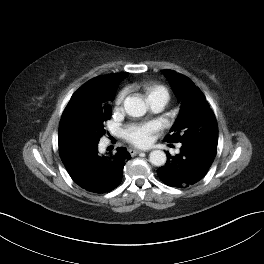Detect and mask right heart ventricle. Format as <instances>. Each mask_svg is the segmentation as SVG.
Wrapping results in <instances>:
<instances>
[{
  "label": "right heart ventricle",
  "instance_id": "1",
  "mask_svg": "<svg viewBox=\"0 0 264 264\" xmlns=\"http://www.w3.org/2000/svg\"><path fill=\"white\" fill-rule=\"evenodd\" d=\"M143 90L148 101L158 96L164 97L167 101L169 99V92L162 85L146 83L143 85Z\"/></svg>",
  "mask_w": 264,
  "mask_h": 264
}]
</instances>
